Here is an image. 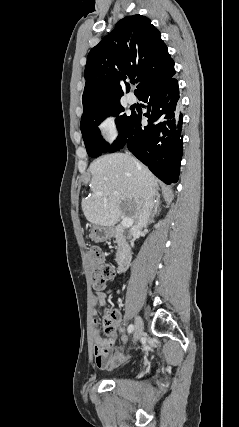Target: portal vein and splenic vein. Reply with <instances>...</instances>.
I'll list each match as a JSON object with an SVG mask.
<instances>
[{"instance_id":"1","label":"portal vein and splenic vein","mask_w":239,"mask_h":427,"mask_svg":"<svg viewBox=\"0 0 239 427\" xmlns=\"http://www.w3.org/2000/svg\"><path fill=\"white\" fill-rule=\"evenodd\" d=\"M133 224V219L132 218H123V220L121 221V225L123 227H129Z\"/></svg>"}]
</instances>
